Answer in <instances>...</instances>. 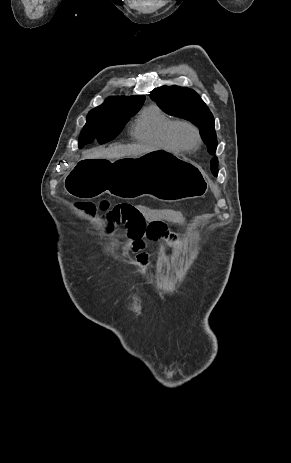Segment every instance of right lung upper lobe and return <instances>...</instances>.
Segmentation results:
<instances>
[{
    "label": "right lung upper lobe",
    "instance_id": "cb5924a9",
    "mask_svg": "<svg viewBox=\"0 0 291 463\" xmlns=\"http://www.w3.org/2000/svg\"><path fill=\"white\" fill-rule=\"evenodd\" d=\"M144 95H136L131 97H109L105 100V102L94 108H111V109H125L127 107L143 103Z\"/></svg>",
    "mask_w": 291,
    "mask_h": 463
}]
</instances>
